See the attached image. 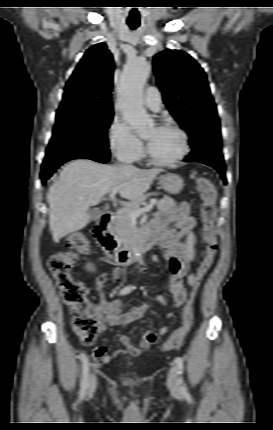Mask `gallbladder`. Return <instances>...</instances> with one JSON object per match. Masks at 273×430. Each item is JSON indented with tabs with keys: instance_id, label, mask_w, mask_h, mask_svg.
Listing matches in <instances>:
<instances>
[{
	"instance_id": "obj_1",
	"label": "gallbladder",
	"mask_w": 273,
	"mask_h": 430,
	"mask_svg": "<svg viewBox=\"0 0 273 430\" xmlns=\"http://www.w3.org/2000/svg\"><path fill=\"white\" fill-rule=\"evenodd\" d=\"M102 214L103 212L96 208L89 210V215L91 220L98 219Z\"/></svg>"
}]
</instances>
